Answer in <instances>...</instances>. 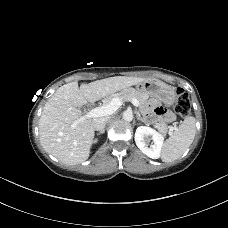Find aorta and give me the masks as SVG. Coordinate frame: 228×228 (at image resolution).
<instances>
[{"mask_svg":"<svg viewBox=\"0 0 228 228\" xmlns=\"http://www.w3.org/2000/svg\"><path fill=\"white\" fill-rule=\"evenodd\" d=\"M123 119L127 122H130L133 120V113L129 110H126L123 112Z\"/></svg>","mask_w":228,"mask_h":228,"instance_id":"1","label":"aorta"}]
</instances>
